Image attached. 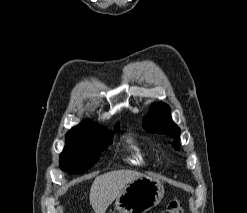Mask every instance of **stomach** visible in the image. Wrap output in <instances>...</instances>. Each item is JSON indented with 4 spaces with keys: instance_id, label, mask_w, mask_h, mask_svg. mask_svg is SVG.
I'll use <instances>...</instances> for the list:
<instances>
[{
    "instance_id": "obj_1",
    "label": "stomach",
    "mask_w": 247,
    "mask_h": 213,
    "mask_svg": "<svg viewBox=\"0 0 247 213\" xmlns=\"http://www.w3.org/2000/svg\"><path fill=\"white\" fill-rule=\"evenodd\" d=\"M163 196V183L144 176L127 184L116 198L114 206L119 213H146L158 205Z\"/></svg>"
}]
</instances>
